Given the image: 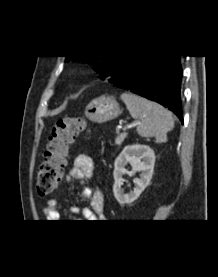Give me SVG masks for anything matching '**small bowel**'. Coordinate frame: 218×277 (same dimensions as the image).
Segmentation results:
<instances>
[{
    "label": "small bowel",
    "instance_id": "c3829d8e",
    "mask_svg": "<svg viewBox=\"0 0 218 277\" xmlns=\"http://www.w3.org/2000/svg\"><path fill=\"white\" fill-rule=\"evenodd\" d=\"M94 172V165L91 157L78 155L66 175L68 181H75L82 186L83 197L89 200V207H73V214H81L87 220H101L104 218V197L103 194L89 185L86 181ZM44 215L50 222H57L60 219L59 203L57 198H51L44 208Z\"/></svg>",
    "mask_w": 218,
    "mask_h": 277
}]
</instances>
